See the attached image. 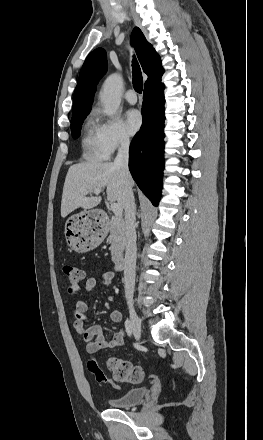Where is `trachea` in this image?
Here are the masks:
<instances>
[{
	"instance_id": "3493384b",
	"label": "trachea",
	"mask_w": 263,
	"mask_h": 440,
	"mask_svg": "<svg viewBox=\"0 0 263 440\" xmlns=\"http://www.w3.org/2000/svg\"><path fill=\"white\" fill-rule=\"evenodd\" d=\"M132 73H133V87L135 89L136 92L138 93H142L143 90V78H142V73H141V69L140 66L136 60V58L133 59L132 61Z\"/></svg>"
}]
</instances>
